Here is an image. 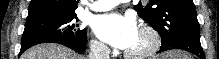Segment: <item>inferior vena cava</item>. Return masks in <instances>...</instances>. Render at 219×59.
I'll use <instances>...</instances> for the list:
<instances>
[{
	"label": "inferior vena cava",
	"mask_w": 219,
	"mask_h": 59,
	"mask_svg": "<svg viewBox=\"0 0 219 59\" xmlns=\"http://www.w3.org/2000/svg\"><path fill=\"white\" fill-rule=\"evenodd\" d=\"M110 50L102 43H95L90 46L89 59H109Z\"/></svg>",
	"instance_id": "inferior-vena-cava-1"
}]
</instances>
